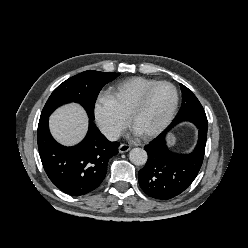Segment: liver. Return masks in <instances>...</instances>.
<instances>
[{"label":"liver","instance_id":"liver-1","mask_svg":"<svg viewBox=\"0 0 248 248\" xmlns=\"http://www.w3.org/2000/svg\"><path fill=\"white\" fill-rule=\"evenodd\" d=\"M49 125L53 137L58 142L71 146L85 136L88 117L80 105L71 103L57 109L51 115Z\"/></svg>","mask_w":248,"mask_h":248}]
</instances>
